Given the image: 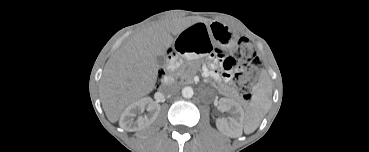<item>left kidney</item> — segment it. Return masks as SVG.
<instances>
[{
	"label": "left kidney",
	"mask_w": 369,
	"mask_h": 152,
	"mask_svg": "<svg viewBox=\"0 0 369 152\" xmlns=\"http://www.w3.org/2000/svg\"><path fill=\"white\" fill-rule=\"evenodd\" d=\"M219 108L224 111H230L232 113V118L230 122L234 126H239V122H241L244 118V110L243 108L235 101L221 98L219 100Z\"/></svg>",
	"instance_id": "left-kidney-1"
}]
</instances>
